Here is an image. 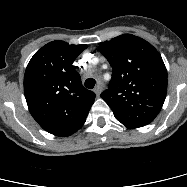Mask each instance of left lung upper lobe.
<instances>
[{"label": "left lung upper lobe", "mask_w": 187, "mask_h": 187, "mask_svg": "<svg viewBox=\"0 0 187 187\" xmlns=\"http://www.w3.org/2000/svg\"><path fill=\"white\" fill-rule=\"evenodd\" d=\"M112 79L101 98L127 128L151 123L167 93V70L159 52L144 39L124 34L99 44Z\"/></svg>", "instance_id": "1"}]
</instances>
